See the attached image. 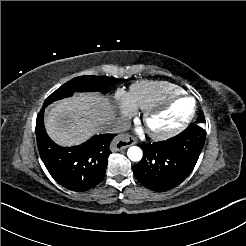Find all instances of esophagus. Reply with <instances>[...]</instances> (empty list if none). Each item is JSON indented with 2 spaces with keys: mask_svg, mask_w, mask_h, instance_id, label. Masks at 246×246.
Segmentation results:
<instances>
[{
  "mask_svg": "<svg viewBox=\"0 0 246 246\" xmlns=\"http://www.w3.org/2000/svg\"><path fill=\"white\" fill-rule=\"evenodd\" d=\"M136 139L129 134H120L115 137L110 145V149L113 152L124 150L127 147L136 144Z\"/></svg>",
  "mask_w": 246,
  "mask_h": 246,
  "instance_id": "esophagus-1",
  "label": "esophagus"
}]
</instances>
